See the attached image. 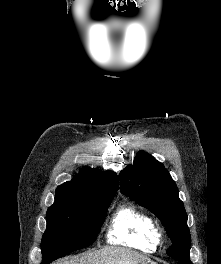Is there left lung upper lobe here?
<instances>
[{
  "mask_svg": "<svg viewBox=\"0 0 221 264\" xmlns=\"http://www.w3.org/2000/svg\"><path fill=\"white\" fill-rule=\"evenodd\" d=\"M120 189L165 224L172 240L167 254L180 262L189 260L191 237L187 214L177 186L163 164L145 152H138L133 166L120 172Z\"/></svg>",
  "mask_w": 221,
  "mask_h": 264,
  "instance_id": "5c2ea615",
  "label": "left lung upper lobe"
}]
</instances>
